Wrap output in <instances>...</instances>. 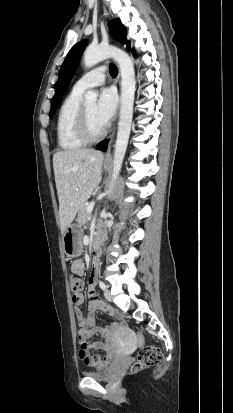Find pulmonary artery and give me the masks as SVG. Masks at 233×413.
Returning <instances> with one entry per match:
<instances>
[{"instance_id": "obj_1", "label": "pulmonary artery", "mask_w": 233, "mask_h": 413, "mask_svg": "<svg viewBox=\"0 0 233 413\" xmlns=\"http://www.w3.org/2000/svg\"><path fill=\"white\" fill-rule=\"evenodd\" d=\"M105 67H97L82 75L74 84V89L84 92L85 90L101 85L105 81Z\"/></svg>"}]
</instances>
